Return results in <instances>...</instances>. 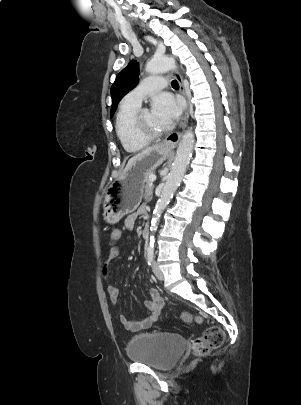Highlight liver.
I'll return each mask as SVG.
<instances>
[{
    "label": "liver",
    "instance_id": "1",
    "mask_svg": "<svg viewBox=\"0 0 301 405\" xmlns=\"http://www.w3.org/2000/svg\"><path fill=\"white\" fill-rule=\"evenodd\" d=\"M158 147H159V145L150 146V147L144 149L142 152L138 153L137 155L133 156V157L128 161L124 172L132 165V163H133L134 161H136L137 159L143 157L144 155L148 154L149 152H151L152 150H154V149H156V148H158ZM124 172H123V173H124Z\"/></svg>",
    "mask_w": 301,
    "mask_h": 405
}]
</instances>
